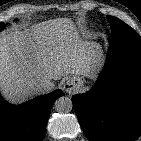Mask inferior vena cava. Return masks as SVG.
Masks as SVG:
<instances>
[{"label":"inferior vena cava","mask_w":141,"mask_h":141,"mask_svg":"<svg viewBox=\"0 0 141 141\" xmlns=\"http://www.w3.org/2000/svg\"><path fill=\"white\" fill-rule=\"evenodd\" d=\"M55 85L50 79H42L35 84L34 90L38 94H44L52 91Z\"/></svg>","instance_id":"1"}]
</instances>
